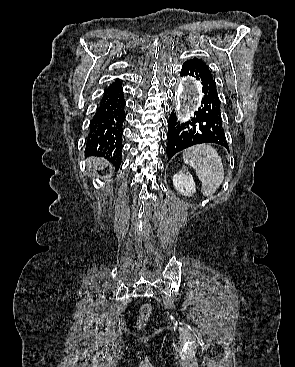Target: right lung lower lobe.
I'll return each instance as SVG.
<instances>
[{
	"instance_id": "98d812e1",
	"label": "right lung lower lobe",
	"mask_w": 295,
	"mask_h": 367,
	"mask_svg": "<svg viewBox=\"0 0 295 367\" xmlns=\"http://www.w3.org/2000/svg\"><path fill=\"white\" fill-rule=\"evenodd\" d=\"M124 121L125 100L121 83L116 80L104 92L91 121L85 154L109 159L119 168Z\"/></svg>"
}]
</instances>
